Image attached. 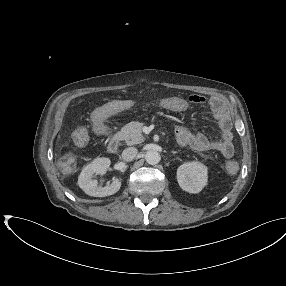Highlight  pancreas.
<instances>
[{
	"label": "pancreas",
	"instance_id": "pancreas-1",
	"mask_svg": "<svg viewBox=\"0 0 286 286\" xmlns=\"http://www.w3.org/2000/svg\"><path fill=\"white\" fill-rule=\"evenodd\" d=\"M144 123L141 122H130L125 125L116 136L120 140H124L127 145H135L142 143L145 138L142 134V127Z\"/></svg>",
	"mask_w": 286,
	"mask_h": 286
}]
</instances>
